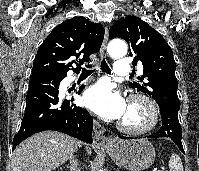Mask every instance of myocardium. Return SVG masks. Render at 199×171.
<instances>
[{
    "label": "myocardium",
    "mask_w": 199,
    "mask_h": 171,
    "mask_svg": "<svg viewBox=\"0 0 199 171\" xmlns=\"http://www.w3.org/2000/svg\"><path fill=\"white\" fill-rule=\"evenodd\" d=\"M130 104L140 105L144 110L145 119L137 125H131L122 120L118 123V129L130 135H141L154 129L159 120V109L156 102L144 93H134L128 98V105Z\"/></svg>",
    "instance_id": "myocardium-1"
}]
</instances>
